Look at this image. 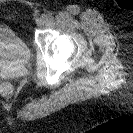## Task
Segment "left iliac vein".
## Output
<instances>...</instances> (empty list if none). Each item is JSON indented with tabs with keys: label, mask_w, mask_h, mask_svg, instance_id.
<instances>
[{
	"label": "left iliac vein",
	"mask_w": 133,
	"mask_h": 133,
	"mask_svg": "<svg viewBox=\"0 0 133 133\" xmlns=\"http://www.w3.org/2000/svg\"><path fill=\"white\" fill-rule=\"evenodd\" d=\"M35 23L37 26H42L45 23V19L41 16V17L36 19Z\"/></svg>",
	"instance_id": "1"
}]
</instances>
